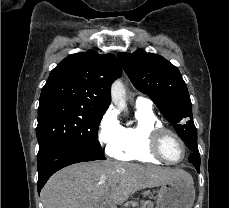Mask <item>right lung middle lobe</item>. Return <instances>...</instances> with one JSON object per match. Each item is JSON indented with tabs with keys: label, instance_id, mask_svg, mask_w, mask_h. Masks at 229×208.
<instances>
[{
	"label": "right lung middle lobe",
	"instance_id": "obj_1",
	"mask_svg": "<svg viewBox=\"0 0 229 208\" xmlns=\"http://www.w3.org/2000/svg\"><path fill=\"white\" fill-rule=\"evenodd\" d=\"M101 118L102 115L74 102L53 100L40 103L36 128L39 142L37 157L65 143L102 152L97 140Z\"/></svg>",
	"mask_w": 229,
	"mask_h": 208
}]
</instances>
